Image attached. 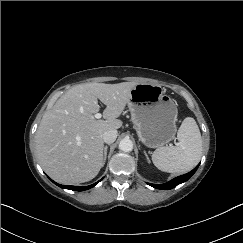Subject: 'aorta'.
I'll return each instance as SVG.
<instances>
[{
    "label": "aorta",
    "mask_w": 243,
    "mask_h": 243,
    "mask_svg": "<svg viewBox=\"0 0 243 243\" xmlns=\"http://www.w3.org/2000/svg\"><path fill=\"white\" fill-rule=\"evenodd\" d=\"M119 149L123 152H130L133 149V143L130 139H122L119 143Z\"/></svg>",
    "instance_id": "aorta-1"
}]
</instances>
